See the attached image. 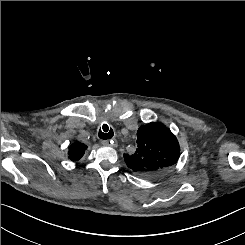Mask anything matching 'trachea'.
Returning <instances> with one entry per match:
<instances>
[{
	"label": "trachea",
	"mask_w": 245,
	"mask_h": 245,
	"mask_svg": "<svg viewBox=\"0 0 245 245\" xmlns=\"http://www.w3.org/2000/svg\"><path fill=\"white\" fill-rule=\"evenodd\" d=\"M99 137L101 139H111L114 135V132L111 128H109V126L107 124H103L102 128H100L99 133H98Z\"/></svg>",
	"instance_id": "trachea-1"
}]
</instances>
